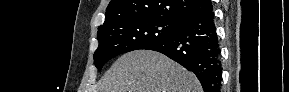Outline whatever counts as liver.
Returning a JSON list of instances; mask_svg holds the SVG:
<instances>
[{
  "mask_svg": "<svg viewBox=\"0 0 289 92\" xmlns=\"http://www.w3.org/2000/svg\"><path fill=\"white\" fill-rule=\"evenodd\" d=\"M100 92H202L197 77L165 55L149 50L123 54L105 73Z\"/></svg>",
  "mask_w": 289,
  "mask_h": 92,
  "instance_id": "6515ba94",
  "label": "liver"
}]
</instances>
